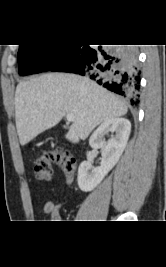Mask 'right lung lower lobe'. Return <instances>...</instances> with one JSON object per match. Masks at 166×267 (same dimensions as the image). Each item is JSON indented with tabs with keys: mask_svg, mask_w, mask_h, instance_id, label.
Masks as SVG:
<instances>
[{
	"mask_svg": "<svg viewBox=\"0 0 166 267\" xmlns=\"http://www.w3.org/2000/svg\"><path fill=\"white\" fill-rule=\"evenodd\" d=\"M134 47L104 50L89 45H70L63 58L49 70L86 75L108 90L137 103L140 71Z\"/></svg>",
	"mask_w": 166,
	"mask_h": 267,
	"instance_id": "right-lung-lower-lobe-1",
	"label": "right lung lower lobe"
}]
</instances>
